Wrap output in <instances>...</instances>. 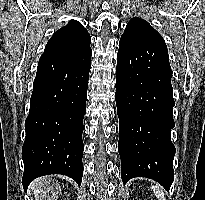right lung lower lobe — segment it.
Returning a JSON list of instances; mask_svg holds the SVG:
<instances>
[{"label":"right lung lower lobe","instance_id":"98d812e1","mask_svg":"<svg viewBox=\"0 0 205 200\" xmlns=\"http://www.w3.org/2000/svg\"><path fill=\"white\" fill-rule=\"evenodd\" d=\"M91 54L88 48L77 54H43L39 60L22 148L25 190L35 178L50 174L82 182Z\"/></svg>","mask_w":205,"mask_h":200}]
</instances>
